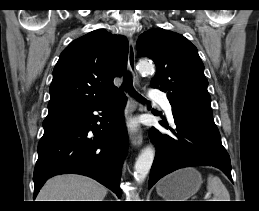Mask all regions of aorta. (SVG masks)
I'll return each mask as SVG.
<instances>
[{
	"label": "aorta",
	"mask_w": 259,
	"mask_h": 211,
	"mask_svg": "<svg viewBox=\"0 0 259 211\" xmlns=\"http://www.w3.org/2000/svg\"><path fill=\"white\" fill-rule=\"evenodd\" d=\"M138 70L140 73L150 74L154 72V65L148 61H140L138 63ZM154 157L155 152L152 147L147 146L142 149L135 162L134 178L138 183H142L147 177L151 169Z\"/></svg>",
	"instance_id": "obj_1"
}]
</instances>
